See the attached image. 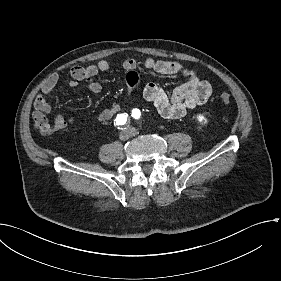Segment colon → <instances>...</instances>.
Here are the masks:
<instances>
[{"label": "colon", "instance_id": "colon-1", "mask_svg": "<svg viewBox=\"0 0 281 281\" xmlns=\"http://www.w3.org/2000/svg\"><path fill=\"white\" fill-rule=\"evenodd\" d=\"M219 102L224 105L229 104L231 102V97L227 94H222L219 96Z\"/></svg>", "mask_w": 281, "mask_h": 281}]
</instances>
